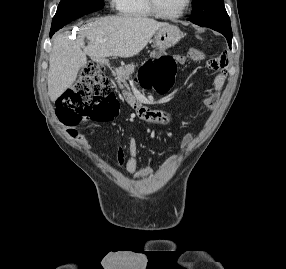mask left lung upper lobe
<instances>
[{"mask_svg": "<svg viewBox=\"0 0 286 269\" xmlns=\"http://www.w3.org/2000/svg\"><path fill=\"white\" fill-rule=\"evenodd\" d=\"M192 8V17L188 20L194 24L231 30L223 0H193Z\"/></svg>", "mask_w": 286, "mask_h": 269, "instance_id": "1", "label": "left lung upper lobe"}]
</instances>
